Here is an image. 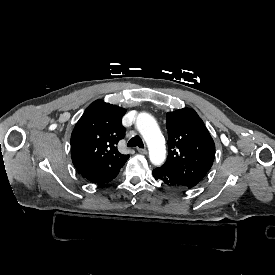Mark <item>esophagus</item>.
<instances>
[{
	"instance_id": "1",
	"label": "esophagus",
	"mask_w": 275,
	"mask_h": 275,
	"mask_svg": "<svg viewBox=\"0 0 275 275\" xmlns=\"http://www.w3.org/2000/svg\"><path fill=\"white\" fill-rule=\"evenodd\" d=\"M137 151L141 154H147V150L146 149H142V148H137Z\"/></svg>"
}]
</instances>
